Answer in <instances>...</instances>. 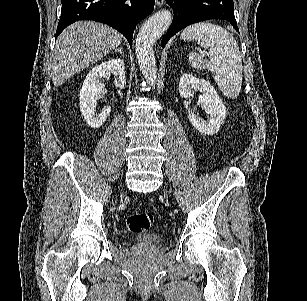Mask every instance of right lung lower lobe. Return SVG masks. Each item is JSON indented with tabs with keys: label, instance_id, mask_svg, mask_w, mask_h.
Returning <instances> with one entry per match:
<instances>
[{
	"label": "right lung lower lobe",
	"instance_id": "98d812e1",
	"mask_svg": "<svg viewBox=\"0 0 307 301\" xmlns=\"http://www.w3.org/2000/svg\"><path fill=\"white\" fill-rule=\"evenodd\" d=\"M56 37L78 20L103 22L122 33L132 47L136 24L154 9L155 0H61Z\"/></svg>",
	"mask_w": 307,
	"mask_h": 301
}]
</instances>
